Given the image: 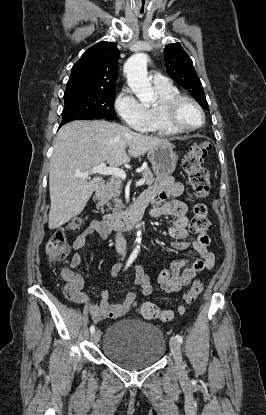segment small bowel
<instances>
[{
  "mask_svg": "<svg viewBox=\"0 0 266 415\" xmlns=\"http://www.w3.org/2000/svg\"><path fill=\"white\" fill-rule=\"evenodd\" d=\"M184 193V185L175 181L170 176H164L157 180L155 184L145 190L138 198L139 201L148 205H152L150 214L153 217L169 215L174 217V221L170 226L168 233L175 240L172 247L176 250L183 251L188 248L194 249L199 257L190 259H179L172 263L169 269L160 272L158 283L166 293H178L183 287L189 285L197 274L203 270H211L214 266V254L209 249L210 239L207 234L199 235L196 239L186 240L188 236L187 225L188 217L187 205L177 199L165 202L168 196L179 197ZM110 230L106 228L102 221L94 220L90 225L77 236L73 243V249L76 253L72 256L69 268L63 270L62 274L70 273L76 286V295L72 299L77 304L84 305L95 322L104 319H119L126 315L137 304V293L129 292L126 297L118 303H112L106 291L100 292V303L95 305L91 299L81 291L83 280L82 277L73 271L84 260L81 252L86 245L87 239L98 234L105 239L109 235ZM122 265L117 264L112 268V275L117 276ZM136 279L135 285L139 287L142 295H150L152 286L149 277L139 265H135Z\"/></svg>",
  "mask_w": 266,
  "mask_h": 415,
  "instance_id": "c3829d8e",
  "label": "small bowel"
}]
</instances>
